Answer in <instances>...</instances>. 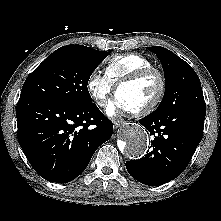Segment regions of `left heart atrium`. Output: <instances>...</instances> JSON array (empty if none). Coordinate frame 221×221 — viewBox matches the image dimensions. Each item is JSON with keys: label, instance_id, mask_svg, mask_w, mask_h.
Listing matches in <instances>:
<instances>
[{"label": "left heart atrium", "instance_id": "39dd6f15", "mask_svg": "<svg viewBox=\"0 0 221 221\" xmlns=\"http://www.w3.org/2000/svg\"><path fill=\"white\" fill-rule=\"evenodd\" d=\"M120 110L127 111L129 109L125 106L123 101L118 96H116L115 99L109 103L106 111L108 115L112 116L115 115Z\"/></svg>", "mask_w": 221, "mask_h": 221}]
</instances>
